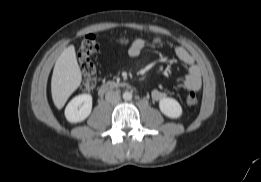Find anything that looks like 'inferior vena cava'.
Here are the masks:
<instances>
[{
    "mask_svg": "<svg viewBox=\"0 0 261 182\" xmlns=\"http://www.w3.org/2000/svg\"><path fill=\"white\" fill-rule=\"evenodd\" d=\"M120 94L116 91H108L105 95V99L107 102L111 104H116L120 101Z\"/></svg>",
    "mask_w": 261,
    "mask_h": 182,
    "instance_id": "1",
    "label": "inferior vena cava"
}]
</instances>
